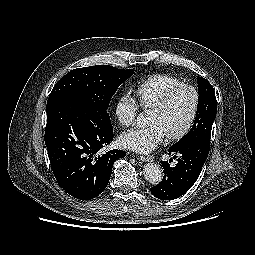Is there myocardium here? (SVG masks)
I'll use <instances>...</instances> for the list:
<instances>
[{"instance_id":"f54148a6","label":"myocardium","mask_w":255,"mask_h":255,"mask_svg":"<svg viewBox=\"0 0 255 255\" xmlns=\"http://www.w3.org/2000/svg\"><path fill=\"white\" fill-rule=\"evenodd\" d=\"M183 89H188L192 92L194 102H193V108L192 112L190 114V117L185 124V126L178 132L173 133V134H167V138L170 141H178L185 137L192 127L194 126V123L197 119L199 108H200V93L198 89L191 85V84H186V83H181L179 85L174 86L173 88L169 89L162 97L161 99L151 108L152 110H157V111H163L166 109V107L169 105L170 101L174 97V95Z\"/></svg>"}]
</instances>
